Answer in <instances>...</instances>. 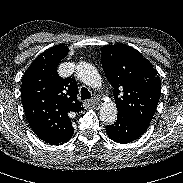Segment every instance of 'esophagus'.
I'll return each mask as SVG.
<instances>
[{
	"label": "esophagus",
	"mask_w": 183,
	"mask_h": 183,
	"mask_svg": "<svg viewBox=\"0 0 183 183\" xmlns=\"http://www.w3.org/2000/svg\"><path fill=\"white\" fill-rule=\"evenodd\" d=\"M85 107L87 108H94L100 105L99 99L94 97L91 100H88L84 103Z\"/></svg>",
	"instance_id": "34e87169"
}]
</instances>
